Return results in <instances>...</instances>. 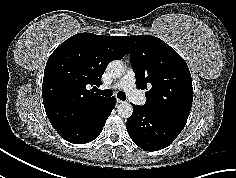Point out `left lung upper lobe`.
Returning <instances> with one entry per match:
<instances>
[{
	"mask_svg": "<svg viewBox=\"0 0 236 178\" xmlns=\"http://www.w3.org/2000/svg\"><path fill=\"white\" fill-rule=\"evenodd\" d=\"M139 89L146 92L148 110L187 122L192 101L191 74L185 60L161 39L125 36Z\"/></svg>",
	"mask_w": 236,
	"mask_h": 178,
	"instance_id": "left-lung-upper-lobe-1",
	"label": "left lung upper lobe"
}]
</instances>
